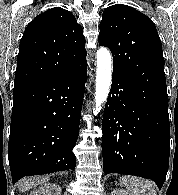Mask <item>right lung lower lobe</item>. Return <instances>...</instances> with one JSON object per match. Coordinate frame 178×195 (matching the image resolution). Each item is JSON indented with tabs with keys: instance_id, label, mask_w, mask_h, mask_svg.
Returning <instances> with one entry per match:
<instances>
[{
	"instance_id": "1",
	"label": "right lung lower lobe",
	"mask_w": 178,
	"mask_h": 195,
	"mask_svg": "<svg viewBox=\"0 0 178 195\" xmlns=\"http://www.w3.org/2000/svg\"><path fill=\"white\" fill-rule=\"evenodd\" d=\"M87 64L75 72L14 85L8 158L12 182L73 170Z\"/></svg>"
}]
</instances>
